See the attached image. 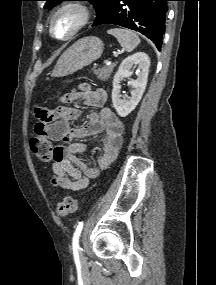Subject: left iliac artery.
Here are the masks:
<instances>
[{
    "instance_id": "left-iliac-artery-1",
    "label": "left iliac artery",
    "mask_w": 216,
    "mask_h": 285,
    "mask_svg": "<svg viewBox=\"0 0 216 285\" xmlns=\"http://www.w3.org/2000/svg\"><path fill=\"white\" fill-rule=\"evenodd\" d=\"M82 228H83V222H80L74 232V235H73V249L74 250H77L79 249V236L81 234V231H82Z\"/></svg>"
}]
</instances>
